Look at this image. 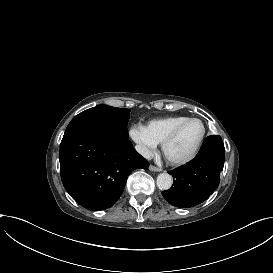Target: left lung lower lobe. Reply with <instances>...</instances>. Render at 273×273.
<instances>
[{
  "label": "left lung lower lobe",
  "mask_w": 273,
  "mask_h": 273,
  "mask_svg": "<svg viewBox=\"0 0 273 273\" xmlns=\"http://www.w3.org/2000/svg\"><path fill=\"white\" fill-rule=\"evenodd\" d=\"M224 157L221 136H208L193 160L169 172L173 185L162 192L163 197L179 208H190L207 200L219 185Z\"/></svg>",
  "instance_id": "obj_1"
}]
</instances>
